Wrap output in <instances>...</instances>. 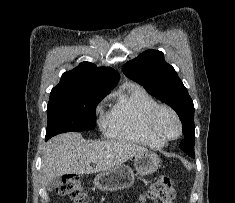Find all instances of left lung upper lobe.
Segmentation results:
<instances>
[{"label":"left lung upper lobe","mask_w":235,"mask_h":203,"mask_svg":"<svg viewBox=\"0 0 235 203\" xmlns=\"http://www.w3.org/2000/svg\"><path fill=\"white\" fill-rule=\"evenodd\" d=\"M122 70L128 78L142 85L150 95L176 111L182 122L183 131L191 133L190 137L182 140L180 148L194 157L193 101L174 68L165 62L163 53L158 50H146L128 61ZM183 143L186 144L188 151L182 147Z\"/></svg>","instance_id":"obj_1"}]
</instances>
